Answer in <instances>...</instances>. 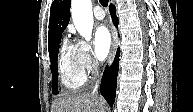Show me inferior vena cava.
<instances>
[{"label":"inferior vena cava","instance_id":"1","mask_svg":"<svg viewBox=\"0 0 193 112\" xmlns=\"http://www.w3.org/2000/svg\"><path fill=\"white\" fill-rule=\"evenodd\" d=\"M95 75H99V70H98V65L95 66ZM98 87H99V82L97 81L94 88H93V94H98Z\"/></svg>","mask_w":193,"mask_h":112}]
</instances>
